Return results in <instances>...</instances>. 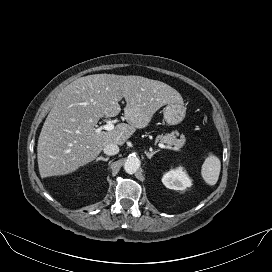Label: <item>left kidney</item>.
I'll use <instances>...</instances> for the list:
<instances>
[{
    "instance_id": "5707ae66",
    "label": "left kidney",
    "mask_w": 272,
    "mask_h": 272,
    "mask_svg": "<svg viewBox=\"0 0 272 272\" xmlns=\"http://www.w3.org/2000/svg\"><path fill=\"white\" fill-rule=\"evenodd\" d=\"M162 182L167 188L173 190H185L192 185L191 179L181 166L164 174Z\"/></svg>"
}]
</instances>
